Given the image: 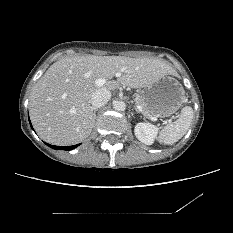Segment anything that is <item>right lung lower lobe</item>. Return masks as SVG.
Listing matches in <instances>:
<instances>
[{
	"label": "right lung lower lobe",
	"instance_id": "1",
	"mask_svg": "<svg viewBox=\"0 0 233 233\" xmlns=\"http://www.w3.org/2000/svg\"><path fill=\"white\" fill-rule=\"evenodd\" d=\"M30 121V120H29ZM30 125H31V122H30ZM32 127V125H31ZM33 129V127H32ZM47 144V143H46ZM49 147L55 149V150H72L76 147H78L80 144H77V145H73V146H53V145H50V144H47Z\"/></svg>",
	"mask_w": 233,
	"mask_h": 233
}]
</instances>
